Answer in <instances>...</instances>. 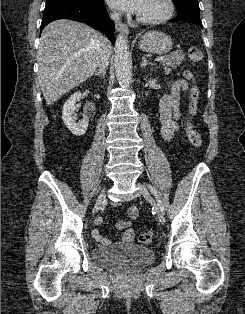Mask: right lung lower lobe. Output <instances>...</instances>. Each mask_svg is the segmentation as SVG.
I'll use <instances>...</instances> for the list:
<instances>
[{
  "mask_svg": "<svg viewBox=\"0 0 245 314\" xmlns=\"http://www.w3.org/2000/svg\"><path fill=\"white\" fill-rule=\"evenodd\" d=\"M58 19H71L88 24L94 29L104 30L112 43L115 42V26L108 16L103 0L98 3H87L75 0H54L46 2L40 31H42L47 24Z\"/></svg>",
  "mask_w": 245,
  "mask_h": 314,
  "instance_id": "right-lung-lower-lobe-1",
  "label": "right lung lower lobe"
}]
</instances>
